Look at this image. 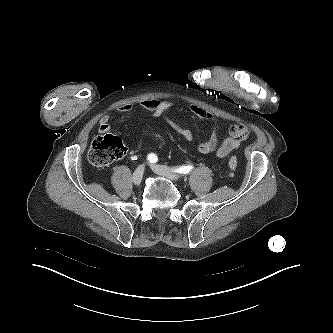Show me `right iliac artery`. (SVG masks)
I'll return each mask as SVG.
<instances>
[{"instance_id": "obj_1", "label": "right iliac artery", "mask_w": 333, "mask_h": 333, "mask_svg": "<svg viewBox=\"0 0 333 333\" xmlns=\"http://www.w3.org/2000/svg\"><path fill=\"white\" fill-rule=\"evenodd\" d=\"M147 159L150 163H156L158 161V157L154 153L149 154Z\"/></svg>"}]
</instances>
